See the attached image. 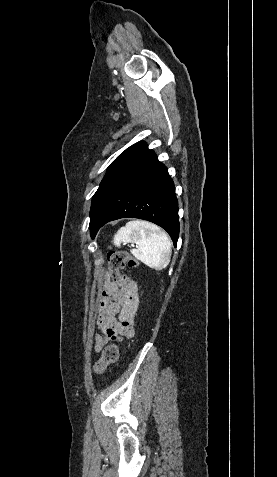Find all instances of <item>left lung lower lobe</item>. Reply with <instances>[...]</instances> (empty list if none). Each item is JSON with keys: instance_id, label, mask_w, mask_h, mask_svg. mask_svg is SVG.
<instances>
[{"instance_id": "1", "label": "left lung lower lobe", "mask_w": 277, "mask_h": 477, "mask_svg": "<svg viewBox=\"0 0 277 477\" xmlns=\"http://www.w3.org/2000/svg\"><path fill=\"white\" fill-rule=\"evenodd\" d=\"M139 218L165 229L174 246L179 236L178 202L167 168L147 144L132 154L108 178L90 217V234L107 222Z\"/></svg>"}]
</instances>
